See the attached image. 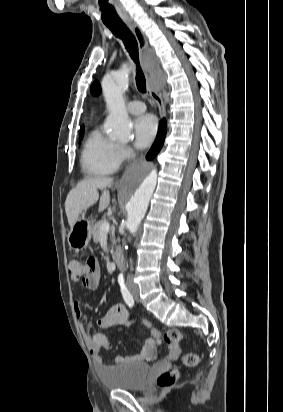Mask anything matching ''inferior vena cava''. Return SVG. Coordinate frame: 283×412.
Returning <instances> with one entry per match:
<instances>
[{
	"label": "inferior vena cava",
	"instance_id": "602c4592",
	"mask_svg": "<svg viewBox=\"0 0 283 412\" xmlns=\"http://www.w3.org/2000/svg\"><path fill=\"white\" fill-rule=\"evenodd\" d=\"M127 284L129 287H133L134 286V281H133V276L131 274H129L127 276Z\"/></svg>",
	"mask_w": 283,
	"mask_h": 412
}]
</instances>
